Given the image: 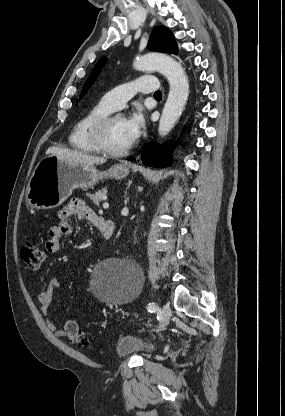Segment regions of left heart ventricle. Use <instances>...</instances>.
Instances as JSON below:
<instances>
[{
    "label": "left heart ventricle",
    "instance_id": "obj_1",
    "mask_svg": "<svg viewBox=\"0 0 285 416\" xmlns=\"http://www.w3.org/2000/svg\"><path fill=\"white\" fill-rule=\"evenodd\" d=\"M105 140L112 149H123L130 144L125 134L124 118H115L107 127Z\"/></svg>",
    "mask_w": 285,
    "mask_h": 416
}]
</instances>
